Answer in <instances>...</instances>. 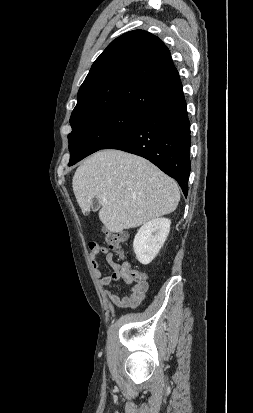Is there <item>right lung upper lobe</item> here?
Returning a JSON list of instances; mask_svg holds the SVG:
<instances>
[{
	"instance_id": "right-lung-upper-lobe-1",
	"label": "right lung upper lobe",
	"mask_w": 253,
	"mask_h": 413,
	"mask_svg": "<svg viewBox=\"0 0 253 413\" xmlns=\"http://www.w3.org/2000/svg\"><path fill=\"white\" fill-rule=\"evenodd\" d=\"M182 95L168 48L153 34L134 30L112 41L93 63L70 122L120 109L147 114Z\"/></svg>"
}]
</instances>
